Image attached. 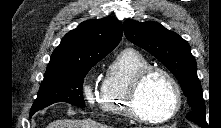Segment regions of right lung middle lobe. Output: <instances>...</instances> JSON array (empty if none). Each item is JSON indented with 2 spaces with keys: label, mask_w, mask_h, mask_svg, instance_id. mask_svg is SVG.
<instances>
[{
  "label": "right lung middle lobe",
  "mask_w": 221,
  "mask_h": 128,
  "mask_svg": "<svg viewBox=\"0 0 221 128\" xmlns=\"http://www.w3.org/2000/svg\"><path fill=\"white\" fill-rule=\"evenodd\" d=\"M102 58L80 65L46 71L30 116L56 102H67L84 108L82 95L84 77Z\"/></svg>",
  "instance_id": "1"
}]
</instances>
